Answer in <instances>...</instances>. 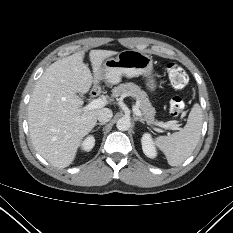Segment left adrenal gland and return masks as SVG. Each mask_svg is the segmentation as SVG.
Listing matches in <instances>:
<instances>
[{
    "label": "left adrenal gland",
    "instance_id": "1",
    "mask_svg": "<svg viewBox=\"0 0 233 233\" xmlns=\"http://www.w3.org/2000/svg\"><path fill=\"white\" fill-rule=\"evenodd\" d=\"M134 121H139V122H141L143 124L145 123L143 119H141V118H139V117H137L135 115H134Z\"/></svg>",
    "mask_w": 233,
    "mask_h": 233
}]
</instances>
